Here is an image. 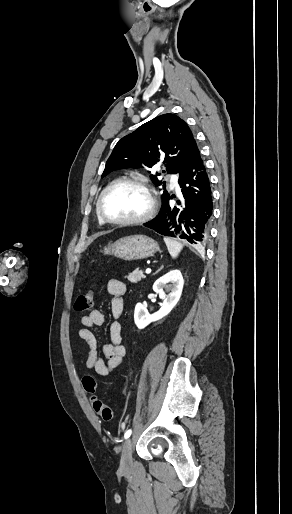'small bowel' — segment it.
<instances>
[{
    "mask_svg": "<svg viewBox=\"0 0 292 514\" xmlns=\"http://www.w3.org/2000/svg\"><path fill=\"white\" fill-rule=\"evenodd\" d=\"M107 291L112 296L111 312L114 318H119L124 310L122 296L126 292L125 284L116 278L107 281ZM83 328L78 329L77 335L88 346L89 351L85 361V368L94 370L98 376H107L120 366L126 356V347L121 343L122 325L113 321L109 326L110 342L102 347V354L98 353V343L92 329L104 324V315L99 310H92L81 318Z\"/></svg>",
    "mask_w": 292,
    "mask_h": 514,
    "instance_id": "1",
    "label": "small bowel"
}]
</instances>
